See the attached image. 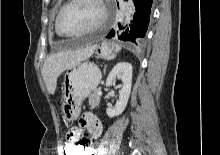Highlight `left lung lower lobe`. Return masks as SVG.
I'll use <instances>...</instances> for the list:
<instances>
[{
    "instance_id": "1",
    "label": "left lung lower lobe",
    "mask_w": 220,
    "mask_h": 155,
    "mask_svg": "<svg viewBox=\"0 0 220 155\" xmlns=\"http://www.w3.org/2000/svg\"><path fill=\"white\" fill-rule=\"evenodd\" d=\"M152 2L153 0H135L136 10L132 24L119 39L130 41L138 46L142 44L149 24ZM114 34L115 32L111 30L107 37L111 38Z\"/></svg>"
}]
</instances>
